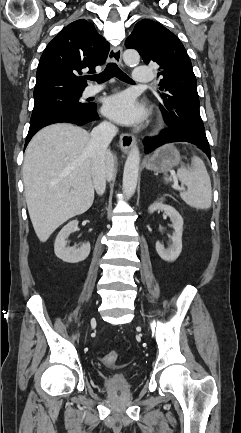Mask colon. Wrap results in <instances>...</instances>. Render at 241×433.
<instances>
[{
	"label": "colon",
	"instance_id": "1",
	"mask_svg": "<svg viewBox=\"0 0 241 433\" xmlns=\"http://www.w3.org/2000/svg\"><path fill=\"white\" fill-rule=\"evenodd\" d=\"M118 357V353L117 351H110L108 352L104 358H103V362L106 365H113L115 363V361L117 360Z\"/></svg>",
	"mask_w": 241,
	"mask_h": 433
}]
</instances>
